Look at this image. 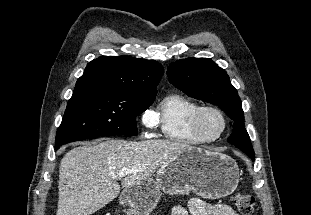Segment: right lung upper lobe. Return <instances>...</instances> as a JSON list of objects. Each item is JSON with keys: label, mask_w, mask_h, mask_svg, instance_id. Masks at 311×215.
I'll return each mask as SVG.
<instances>
[{"label": "right lung upper lobe", "mask_w": 311, "mask_h": 215, "mask_svg": "<svg viewBox=\"0 0 311 215\" xmlns=\"http://www.w3.org/2000/svg\"><path fill=\"white\" fill-rule=\"evenodd\" d=\"M164 69L154 60L102 56L88 63L75 89L96 88L138 96H156Z\"/></svg>", "instance_id": "cb5924a9"}]
</instances>
